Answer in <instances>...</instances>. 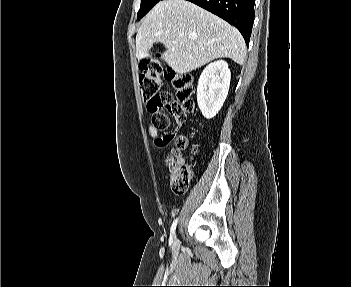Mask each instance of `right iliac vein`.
I'll return each instance as SVG.
<instances>
[{"label": "right iliac vein", "mask_w": 351, "mask_h": 287, "mask_svg": "<svg viewBox=\"0 0 351 287\" xmlns=\"http://www.w3.org/2000/svg\"><path fill=\"white\" fill-rule=\"evenodd\" d=\"M179 245L178 239H175L173 242V248H176Z\"/></svg>", "instance_id": "right-iliac-vein-1"}]
</instances>
